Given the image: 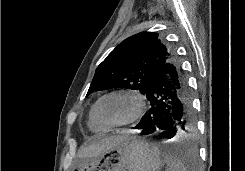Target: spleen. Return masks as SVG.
I'll use <instances>...</instances> for the list:
<instances>
[{"label": "spleen", "mask_w": 245, "mask_h": 171, "mask_svg": "<svg viewBox=\"0 0 245 171\" xmlns=\"http://www.w3.org/2000/svg\"><path fill=\"white\" fill-rule=\"evenodd\" d=\"M164 161L166 162V171H188L184 163L175 155L163 153Z\"/></svg>", "instance_id": "spleen-1"}]
</instances>
